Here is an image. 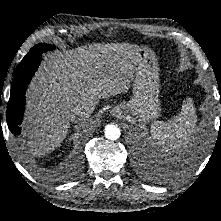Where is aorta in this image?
I'll return each mask as SVG.
<instances>
[{
  "mask_svg": "<svg viewBox=\"0 0 221 221\" xmlns=\"http://www.w3.org/2000/svg\"><path fill=\"white\" fill-rule=\"evenodd\" d=\"M120 134V129L113 124H108L105 127V137L109 140H117L120 137Z\"/></svg>",
  "mask_w": 221,
  "mask_h": 221,
  "instance_id": "1",
  "label": "aorta"
}]
</instances>
